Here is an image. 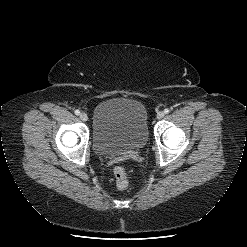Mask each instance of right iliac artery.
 I'll list each match as a JSON object with an SVG mask.
<instances>
[{
  "label": "right iliac artery",
  "instance_id": "obj_1",
  "mask_svg": "<svg viewBox=\"0 0 247 247\" xmlns=\"http://www.w3.org/2000/svg\"><path fill=\"white\" fill-rule=\"evenodd\" d=\"M75 114L76 115H79L80 114V111L79 110H75Z\"/></svg>",
  "mask_w": 247,
  "mask_h": 247
}]
</instances>
